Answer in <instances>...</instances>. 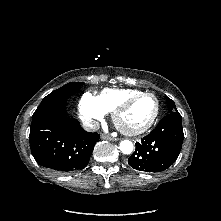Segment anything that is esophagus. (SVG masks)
<instances>
[{"label":"esophagus","mask_w":221,"mask_h":221,"mask_svg":"<svg viewBox=\"0 0 221 221\" xmlns=\"http://www.w3.org/2000/svg\"><path fill=\"white\" fill-rule=\"evenodd\" d=\"M101 139L110 140V141H117L118 140L117 138L111 137V136L106 135V134H101Z\"/></svg>","instance_id":"34e87169"}]
</instances>
